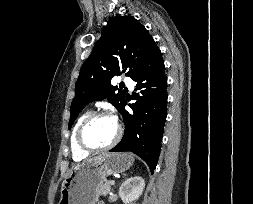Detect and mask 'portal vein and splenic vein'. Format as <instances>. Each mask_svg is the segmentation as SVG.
<instances>
[{
    "label": "portal vein and splenic vein",
    "mask_w": 253,
    "mask_h": 204,
    "mask_svg": "<svg viewBox=\"0 0 253 204\" xmlns=\"http://www.w3.org/2000/svg\"><path fill=\"white\" fill-rule=\"evenodd\" d=\"M109 184H110V185H114V184H115V181H114V180H110Z\"/></svg>",
    "instance_id": "1"
}]
</instances>
